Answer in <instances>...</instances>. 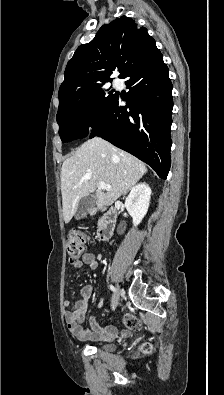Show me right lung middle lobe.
<instances>
[{"mask_svg": "<svg viewBox=\"0 0 224 395\" xmlns=\"http://www.w3.org/2000/svg\"><path fill=\"white\" fill-rule=\"evenodd\" d=\"M106 82L77 93L59 105L56 119L62 142L87 136L89 126L93 128L111 104L117 92L111 88L106 89Z\"/></svg>", "mask_w": 224, "mask_h": 395, "instance_id": "right-lung-middle-lobe-1", "label": "right lung middle lobe"}]
</instances>
